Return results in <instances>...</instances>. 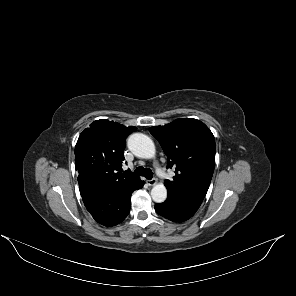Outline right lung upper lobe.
<instances>
[{"label": "right lung upper lobe", "instance_id": "cb5924a9", "mask_svg": "<svg viewBox=\"0 0 296 296\" xmlns=\"http://www.w3.org/2000/svg\"><path fill=\"white\" fill-rule=\"evenodd\" d=\"M137 128L109 120H96L83 130L75 147L78 180L88 178L97 187H121L140 178L122 170L127 136Z\"/></svg>", "mask_w": 296, "mask_h": 296}]
</instances>
